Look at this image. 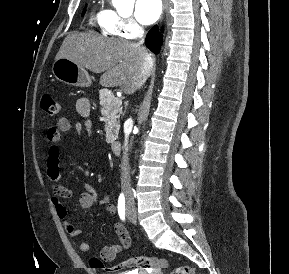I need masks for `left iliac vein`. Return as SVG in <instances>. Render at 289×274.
<instances>
[{"mask_svg":"<svg viewBox=\"0 0 289 274\" xmlns=\"http://www.w3.org/2000/svg\"><path fill=\"white\" fill-rule=\"evenodd\" d=\"M127 217H128L130 222H132L133 224H136L135 212L129 206L127 207Z\"/></svg>","mask_w":289,"mask_h":274,"instance_id":"4c4485c4","label":"left iliac vein"}]
</instances>
